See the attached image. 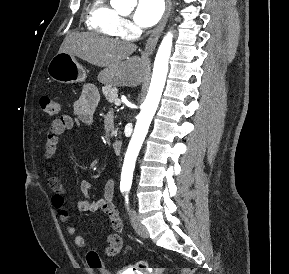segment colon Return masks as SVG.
Here are the masks:
<instances>
[{
  "label": "colon",
  "instance_id": "colon-1",
  "mask_svg": "<svg viewBox=\"0 0 289 274\" xmlns=\"http://www.w3.org/2000/svg\"><path fill=\"white\" fill-rule=\"evenodd\" d=\"M40 107L42 111L49 117H56L61 110L60 103L57 100H54L48 96H43L40 99ZM87 262L90 268L101 270L103 274H110L104 267L103 261L99 254L96 251H90L87 254ZM148 267L146 262H139L134 268L129 269L127 271L138 272L144 271ZM194 268H184L180 274H193Z\"/></svg>",
  "mask_w": 289,
  "mask_h": 274
}]
</instances>
